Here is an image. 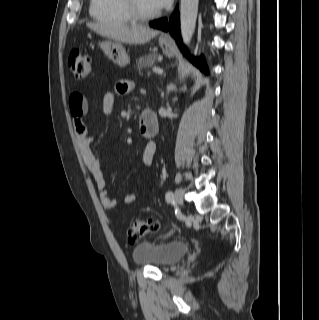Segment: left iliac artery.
<instances>
[{
  "mask_svg": "<svg viewBox=\"0 0 319 320\" xmlns=\"http://www.w3.org/2000/svg\"><path fill=\"white\" fill-rule=\"evenodd\" d=\"M166 201L168 203L173 202L174 201V195L171 191H168L165 195Z\"/></svg>",
  "mask_w": 319,
  "mask_h": 320,
  "instance_id": "44dca946",
  "label": "left iliac artery"
}]
</instances>
